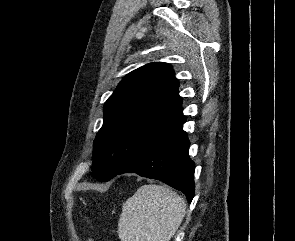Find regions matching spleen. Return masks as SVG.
<instances>
[{"label": "spleen", "instance_id": "1", "mask_svg": "<svg viewBox=\"0 0 295 241\" xmlns=\"http://www.w3.org/2000/svg\"><path fill=\"white\" fill-rule=\"evenodd\" d=\"M186 212L181 196L166 186L143 185L122 208L118 222L121 241H170Z\"/></svg>", "mask_w": 295, "mask_h": 241}]
</instances>
